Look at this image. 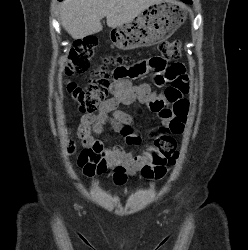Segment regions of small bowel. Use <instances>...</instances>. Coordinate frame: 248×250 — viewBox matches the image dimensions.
<instances>
[{
    "mask_svg": "<svg viewBox=\"0 0 248 250\" xmlns=\"http://www.w3.org/2000/svg\"><path fill=\"white\" fill-rule=\"evenodd\" d=\"M152 59L136 64L135 76H140L157 70L152 66ZM127 68H119L114 72L113 82L110 86L112 96L107 99L98 109L96 114L87 113L81 117L77 130L79 139L85 149L95 151L97 158L93 160L94 169L89 166H82V171L87 176L105 174L112 171V177L117 185L126 182L128 176L144 173V168L151 165L154 158V150L149 148L139 155L126 152L120 145L107 147L102 141L96 138L103 132L104 126L109 124L113 129L124 135L130 144L140 142V137L132 130L133 117L129 113L118 109L120 104L129 105L135 101L148 104L151 110L161 119V126L157 133L179 135L182 133L186 120V113L189 107L184 96L188 93L189 83L185 74L184 65L181 63L161 64L162 74L174 75L171 83L172 89L180 95L181 100H177L171 107H158L155 104L159 101L166 102L165 94L154 95L151 88L146 83L132 84L125 75ZM182 103V110L176 109V104Z\"/></svg>",
    "mask_w": 248,
    "mask_h": 250,
    "instance_id": "small-bowel-1",
    "label": "small bowel"
}]
</instances>
